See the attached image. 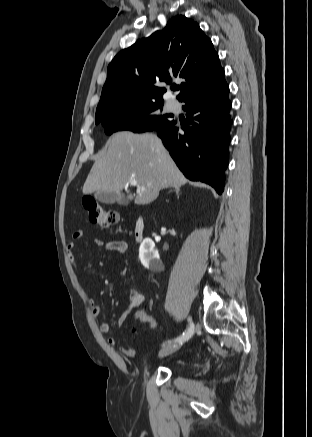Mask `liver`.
Here are the masks:
<instances>
[{
    "mask_svg": "<svg viewBox=\"0 0 312 437\" xmlns=\"http://www.w3.org/2000/svg\"><path fill=\"white\" fill-rule=\"evenodd\" d=\"M131 180L145 188H137V205L149 204L160 190L188 181L155 134L118 132L109 138L107 153L93 164L83 193L107 191L120 196Z\"/></svg>",
    "mask_w": 312,
    "mask_h": 437,
    "instance_id": "liver-1",
    "label": "liver"
}]
</instances>
